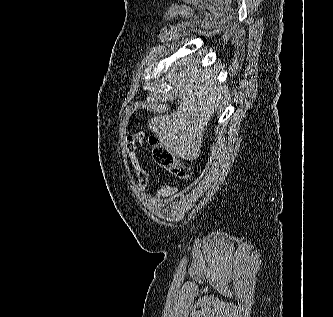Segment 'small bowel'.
Listing matches in <instances>:
<instances>
[{
	"mask_svg": "<svg viewBox=\"0 0 333 317\" xmlns=\"http://www.w3.org/2000/svg\"><path fill=\"white\" fill-rule=\"evenodd\" d=\"M144 140H145V134L143 132H137L132 135H129L126 138L125 142L126 153L131 159L132 165L135 169L139 189L141 191H145L148 188L150 181L149 174L142 167L137 154V146L138 144L143 143ZM176 192H177L176 187L170 184H166L156 191L155 197L158 201L162 203H167L175 196Z\"/></svg>",
	"mask_w": 333,
	"mask_h": 317,
	"instance_id": "1",
	"label": "small bowel"
}]
</instances>
